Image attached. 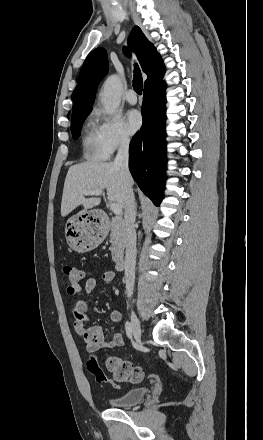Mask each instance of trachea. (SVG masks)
Returning a JSON list of instances; mask_svg holds the SVG:
<instances>
[{
	"label": "trachea",
	"instance_id": "3493384b",
	"mask_svg": "<svg viewBox=\"0 0 263 440\" xmlns=\"http://www.w3.org/2000/svg\"><path fill=\"white\" fill-rule=\"evenodd\" d=\"M133 88L137 94L139 95L142 94L143 79H142L141 71L137 64H135V69H134Z\"/></svg>",
	"mask_w": 263,
	"mask_h": 440
}]
</instances>
